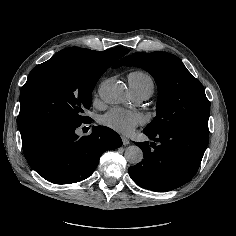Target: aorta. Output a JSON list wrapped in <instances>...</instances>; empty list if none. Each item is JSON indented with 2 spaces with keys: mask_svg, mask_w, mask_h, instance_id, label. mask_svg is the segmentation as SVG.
Instances as JSON below:
<instances>
[{
  "mask_svg": "<svg viewBox=\"0 0 236 236\" xmlns=\"http://www.w3.org/2000/svg\"><path fill=\"white\" fill-rule=\"evenodd\" d=\"M99 95L106 103H120L125 99V87L122 83L115 80H107L102 83ZM124 155L127 162L133 165L140 163L143 159V152L136 145L127 147Z\"/></svg>",
  "mask_w": 236,
  "mask_h": 236,
  "instance_id": "762f6f07",
  "label": "aorta"
}]
</instances>
